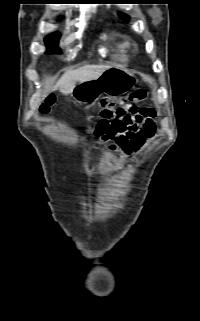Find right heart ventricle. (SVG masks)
Segmentation results:
<instances>
[{"label": "right heart ventricle", "instance_id": "e07e8e85", "mask_svg": "<svg viewBox=\"0 0 200 321\" xmlns=\"http://www.w3.org/2000/svg\"><path fill=\"white\" fill-rule=\"evenodd\" d=\"M112 45L118 50L125 51L129 47L128 40L123 36H113L111 38Z\"/></svg>", "mask_w": 200, "mask_h": 321}]
</instances>
